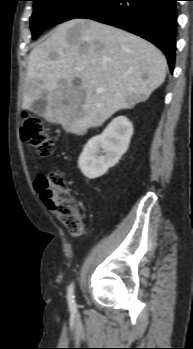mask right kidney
I'll list each match as a JSON object with an SVG mask.
<instances>
[{
    "mask_svg": "<svg viewBox=\"0 0 193 349\" xmlns=\"http://www.w3.org/2000/svg\"><path fill=\"white\" fill-rule=\"evenodd\" d=\"M132 135L133 126L127 117L114 118L102 134L91 138L83 148L78 166L84 176L101 177L117 164L127 151Z\"/></svg>",
    "mask_w": 193,
    "mask_h": 349,
    "instance_id": "ca27d5eb",
    "label": "right kidney"
}]
</instances>
